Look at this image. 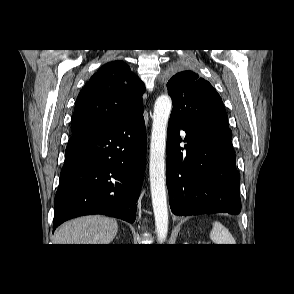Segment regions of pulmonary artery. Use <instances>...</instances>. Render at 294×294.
Here are the masks:
<instances>
[{
	"label": "pulmonary artery",
	"mask_w": 294,
	"mask_h": 294,
	"mask_svg": "<svg viewBox=\"0 0 294 294\" xmlns=\"http://www.w3.org/2000/svg\"><path fill=\"white\" fill-rule=\"evenodd\" d=\"M181 135H182V136H184V135H185V133H184L183 131H181Z\"/></svg>",
	"instance_id": "obj_1"
}]
</instances>
